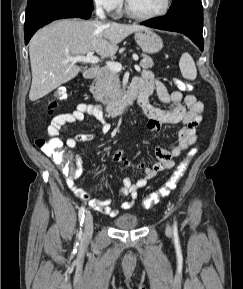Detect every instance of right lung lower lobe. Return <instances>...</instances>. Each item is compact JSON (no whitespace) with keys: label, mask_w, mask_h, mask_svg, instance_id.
Segmentation results:
<instances>
[{"label":"right lung lower lobe","mask_w":243,"mask_h":289,"mask_svg":"<svg viewBox=\"0 0 243 289\" xmlns=\"http://www.w3.org/2000/svg\"><path fill=\"white\" fill-rule=\"evenodd\" d=\"M92 0H28L25 18V44L45 24L62 18L91 17Z\"/></svg>","instance_id":"obj_1"}]
</instances>
